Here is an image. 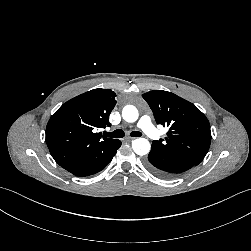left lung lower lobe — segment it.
<instances>
[{
    "mask_svg": "<svg viewBox=\"0 0 251 251\" xmlns=\"http://www.w3.org/2000/svg\"><path fill=\"white\" fill-rule=\"evenodd\" d=\"M145 165L155 175L161 178L171 179L197 164L178 155L151 147Z\"/></svg>",
    "mask_w": 251,
    "mask_h": 251,
    "instance_id": "1",
    "label": "left lung lower lobe"
}]
</instances>
